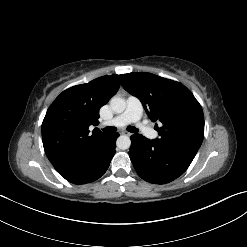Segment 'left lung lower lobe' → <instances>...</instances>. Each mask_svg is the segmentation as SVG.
Returning a JSON list of instances; mask_svg holds the SVG:
<instances>
[{"label":"left lung lower lobe","mask_w":247,"mask_h":247,"mask_svg":"<svg viewBox=\"0 0 247 247\" xmlns=\"http://www.w3.org/2000/svg\"><path fill=\"white\" fill-rule=\"evenodd\" d=\"M129 156L137 174L154 184H165L175 180L187 170L193 160L140 134L131 136Z\"/></svg>","instance_id":"obj_1"}]
</instances>
